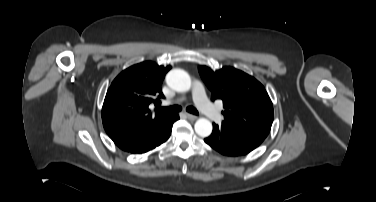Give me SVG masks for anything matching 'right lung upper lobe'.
Returning <instances> with one entry per match:
<instances>
[{"label": "right lung upper lobe", "mask_w": 376, "mask_h": 202, "mask_svg": "<svg viewBox=\"0 0 376 202\" xmlns=\"http://www.w3.org/2000/svg\"><path fill=\"white\" fill-rule=\"evenodd\" d=\"M170 68L146 61L127 68L114 79L104 100L102 121L116 145L171 115L158 110L153 114L148 107L151 103L157 106L164 98L161 84Z\"/></svg>", "instance_id": "1"}]
</instances>
